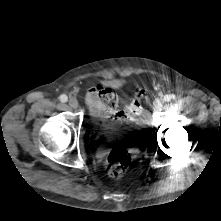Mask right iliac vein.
I'll return each instance as SVG.
<instances>
[{"label": "right iliac vein", "mask_w": 221, "mask_h": 221, "mask_svg": "<svg viewBox=\"0 0 221 221\" xmlns=\"http://www.w3.org/2000/svg\"><path fill=\"white\" fill-rule=\"evenodd\" d=\"M69 106L71 108H77L78 107V101L75 98H71L68 102Z\"/></svg>", "instance_id": "obj_1"}]
</instances>
